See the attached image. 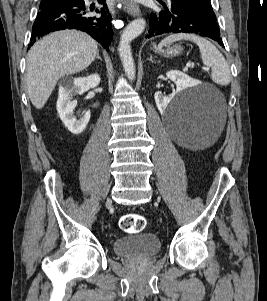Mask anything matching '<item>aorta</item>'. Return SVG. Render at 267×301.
<instances>
[{
  "label": "aorta",
  "mask_w": 267,
  "mask_h": 301,
  "mask_svg": "<svg viewBox=\"0 0 267 301\" xmlns=\"http://www.w3.org/2000/svg\"><path fill=\"white\" fill-rule=\"evenodd\" d=\"M145 25L146 21L143 18L133 20L123 30L120 38L118 51L123 69L130 80L135 79V64L131 53L130 43L144 31Z\"/></svg>",
  "instance_id": "1"
}]
</instances>
